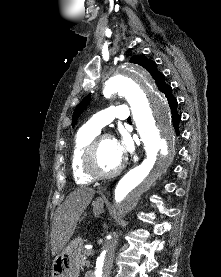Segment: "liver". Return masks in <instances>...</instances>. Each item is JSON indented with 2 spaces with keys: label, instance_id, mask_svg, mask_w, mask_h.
I'll list each match as a JSON object with an SVG mask.
<instances>
[{
  "label": "liver",
  "instance_id": "6515ba94",
  "mask_svg": "<svg viewBox=\"0 0 221 277\" xmlns=\"http://www.w3.org/2000/svg\"><path fill=\"white\" fill-rule=\"evenodd\" d=\"M95 195L92 188H78L71 192L66 200L57 208L51 231V252L58 254L76 229L77 222L83 211Z\"/></svg>",
  "mask_w": 221,
  "mask_h": 277
}]
</instances>
